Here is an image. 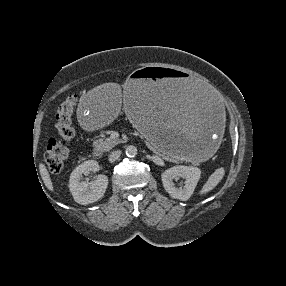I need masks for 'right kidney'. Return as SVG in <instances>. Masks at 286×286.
I'll use <instances>...</instances> for the list:
<instances>
[{
	"instance_id": "ca27d5eb",
	"label": "right kidney",
	"mask_w": 286,
	"mask_h": 286,
	"mask_svg": "<svg viewBox=\"0 0 286 286\" xmlns=\"http://www.w3.org/2000/svg\"><path fill=\"white\" fill-rule=\"evenodd\" d=\"M99 170V164L95 160H88L78 165L71 173L69 189L75 200L79 204H90L98 201L104 196L108 186V178L105 175H98L92 182L81 181L82 175Z\"/></svg>"
}]
</instances>
